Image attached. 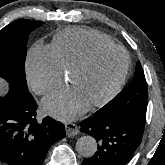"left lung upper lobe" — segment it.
I'll return each mask as SVG.
<instances>
[{"mask_svg": "<svg viewBox=\"0 0 165 165\" xmlns=\"http://www.w3.org/2000/svg\"><path fill=\"white\" fill-rule=\"evenodd\" d=\"M148 89L144 71L137 62L134 78L130 86L94 115L98 117L146 119Z\"/></svg>", "mask_w": 165, "mask_h": 165, "instance_id": "left-lung-upper-lobe-1", "label": "left lung upper lobe"}]
</instances>
